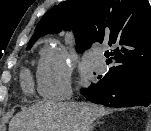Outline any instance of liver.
Masks as SVG:
<instances>
[{
  "label": "liver",
  "instance_id": "liver-1",
  "mask_svg": "<svg viewBox=\"0 0 151 131\" xmlns=\"http://www.w3.org/2000/svg\"><path fill=\"white\" fill-rule=\"evenodd\" d=\"M109 113L91 103L43 101L17 114L9 131H92L93 123Z\"/></svg>",
  "mask_w": 151,
  "mask_h": 131
}]
</instances>
